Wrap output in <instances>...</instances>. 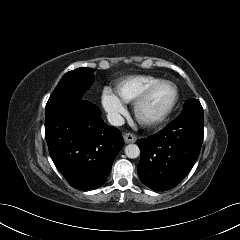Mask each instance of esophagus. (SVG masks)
I'll use <instances>...</instances> for the list:
<instances>
[{
	"label": "esophagus",
	"instance_id": "1",
	"mask_svg": "<svg viewBox=\"0 0 240 240\" xmlns=\"http://www.w3.org/2000/svg\"><path fill=\"white\" fill-rule=\"evenodd\" d=\"M123 137L126 143H134L137 140V137L132 133H125Z\"/></svg>",
	"mask_w": 240,
	"mask_h": 240
}]
</instances>
